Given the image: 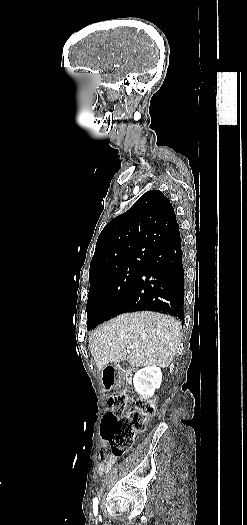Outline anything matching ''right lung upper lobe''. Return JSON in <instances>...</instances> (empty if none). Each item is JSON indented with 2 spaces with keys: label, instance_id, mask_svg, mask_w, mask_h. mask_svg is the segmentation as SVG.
I'll use <instances>...</instances> for the list:
<instances>
[{
  "label": "right lung upper lobe",
  "instance_id": "1",
  "mask_svg": "<svg viewBox=\"0 0 247 525\" xmlns=\"http://www.w3.org/2000/svg\"><path fill=\"white\" fill-rule=\"evenodd\" d=\"M178 230L169 199L161 191H147L128 211L103 228L89 274L126 267L144 258Z\"/></svg>",
  "mask_w": 247,
  "mask_h": 525
}]
</instances>
